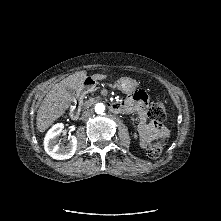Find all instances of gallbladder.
Segmentation results:
<instances>
[{
    "instance_id": "1",
    "label": "gallbladder",
    "mask_w": 221,
    "mask_h": 221,
    "mask_svg": "<svg viewBox=\"0 0 221 221\" xmlns=\"http://www.w3.org/2000/svg\"><path fill=\"white\" fill-rule=\"evenodd\" d=\"M67 91L71 94V95H74L73 91L71 89H67Z\"/></svg>"
}]
</instances>
